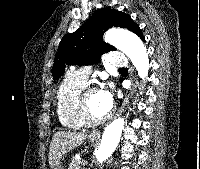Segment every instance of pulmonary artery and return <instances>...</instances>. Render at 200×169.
I'll use <instances>...</instances> for the list:
<instances>
[{
	"label": "pulmonary artery",
	"instance_id": "pulmonary-artery-1",
	"mask_svg": "<svg viewBox=\"0 0 200 169\" xmlns=\"http://www.w3.org/2000/svg\"><path fill=\"white\" fill-rule=\"evenodd\" d=\"M107 61L111 65L117 67L124 66L126 64V59L124 55L118 50H115L112 53H110L109 57L107 58ZM89 73V67H82L76 71H71L69 73V77L86 85Z\"/></svg>",
	"mask_w": 200,
	"mask_h": 169
}]
</instances>
